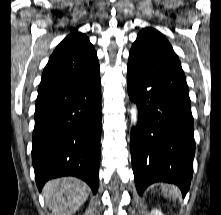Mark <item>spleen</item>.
<instances>
[{"label":"spleen","instance_id":"obj_1","mask_svg":"<svg viewBox=\"0 0 221 215\" xmlns=\"http://www.w3.org/2000/svg\"><path fill=\"white\" fill-rule=\"evenodd\" d=\"M173 192H174V198L176 199L178 196V190L176 188H174Z\"/></svg>","mask_w":221,"mask_h":215}]
</instances>
